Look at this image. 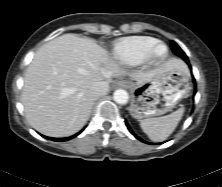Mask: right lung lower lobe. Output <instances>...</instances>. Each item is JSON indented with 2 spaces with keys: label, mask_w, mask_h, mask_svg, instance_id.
<instances>
[{
  "label": "right lung lower lobe",
  "mask_w": 222,
  "mask_h": 187,
  "mask_svg": "<svg viewBox=\"0 0 222 187\" xmlns=\"http://www.w3.org/2000/svg\"><path fill=\"white\" fill-rule=\"evenodd\" d=\"M81 132H79V133H77V134H75V135H73V136H71V137H67V138H51V137H46V136H43V137H45V138H47V139H50V140H53V141H57V142H62V141H67V140H69V139H72V138H74V137H76L78 134H80Z\"/></svg>",
  "instance_id": "right-lung-lower-lobe-1"
}]
</instances>
